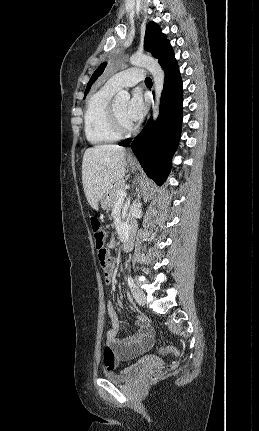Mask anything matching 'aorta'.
Masks as SVG:
<instances>
[{"mask_svg":"<svg viewBox=\"0 0 259 431\" xmlns=\"http://www.w3.org/2000/svg\"><path fill=\"white\" fill-rule=\"evenodd\" d=\"M130 63L134 66L138 67H144L153 76L154 81V89H155V102L153 103V118L157 119L159 115V104H160V98L163 91L164 86V72L159 65V63L153 59L152 57H149L144 54H134L130 57ZM130 99V94L127 90H120L114 100L117 104H126Z\"/></svg>","mask_w":259,"mask_h":431,"instance_id":"obj_1","label":"aorta"}]
</instances>
